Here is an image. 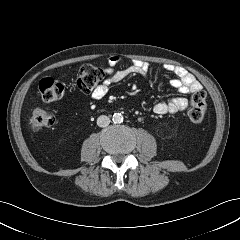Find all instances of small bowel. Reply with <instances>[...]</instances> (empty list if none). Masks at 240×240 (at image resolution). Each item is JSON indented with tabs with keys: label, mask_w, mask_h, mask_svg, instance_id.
<instances>
[{
	"label": "small bowel",
	"mask_w": 240,
	"mask_h": 240,
	"mask_svg": "<svg viewBox=\"0 0 240 240\" xmlns=\"http://www.w3.org/2000/svg\"><path fill=\"white\" fill-rule=\"evenodd\" d=\"M122 58L119 55H112L108 58L107 67L104 70L105 79L103 83L98 85L91 97L99 100L103 98L109 91V88L119 83L129 76L139 75L148 76L151 67L149 63L141 60H133L131 65L122 70H115L114 68L120 64ZM164 70L174 75L171 79V86L177 89L182 94L195 93L202 89L201 84L195 79L193 75L188 73L185 69L172 64H164ZM188 106V99L185 97H175L169 101H161L155 104L153 111L157 115L176 114L185 110Z\"/></svg>",
	"instance_id": "c3829d8e"
}]
</instances>
